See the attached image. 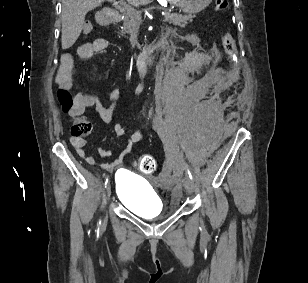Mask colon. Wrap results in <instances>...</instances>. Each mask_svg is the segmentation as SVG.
<instances>
[{"mask_svg":"<svg viewBox=\"0 0 308 283\" xmlns=\"http://www.w3.org/2000/svg\"><path fill=\"white\" fill-rule=\"evenodd\" d=\"M228 7L227 0H216L215 9L217 12L225 11ZM92 31V24L86 22L83 25V33L88 34ZM224 52L228 60H233L236 55V44L232 34L227 31L223 36L222 41ZM58 101L62 109L69 112L75 105V99L68 90L59 89L57 92ZM91 131V124L83 117H75L71 125V134L76 138H83L87 136ZM136 166L142 173L150 174L156 169V160L153 156L144 154L141 155L137 161Z\"/></svg>","mask_w":308,"mask_h":283,"instance_id":"obj_1","label":"colon"}]
</instances>
